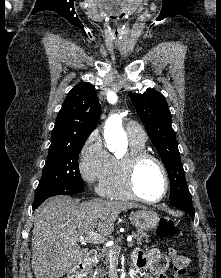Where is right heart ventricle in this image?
<instances>
[{"label":"right heart ventricle","mask_w":221,"mask_h":278,"mask_svg":"<svg viewBox=\"0 0 221 278\" xmlns=\"http://www.w3.org/2000/svg\"><path fill=\"white\" fill-rule=\"evenodd\" d=\"M145 148V141H140L130 138V150L143 151ZM99 191L110 198L114 199H130V194L125 189L121 174L118 159L112 157V165L107 175L99 184Z\"/></svg>","instance_id":"obj_1"}]
</instances>
